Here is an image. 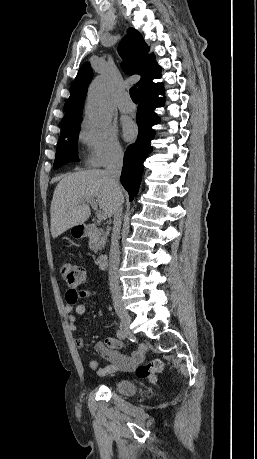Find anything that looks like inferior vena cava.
<instances>
[{"label":"inferior vena cava","mask_w":257,"mask_h":459,"mask_svg":"<svg viewBox=\"0 0 257 459\" xmlns=\"http://www.w3.org/2000/svg\"><path fill=\"white\" fill-rule=\"evenodd\" d=\"M123 166V151L121 148L114 149L106 164V174L114 195L113 230L109 253V284L114 307L122 305L121 288L119 285L118 267L120 260L119 233L121 228V213L123 197L120 186V174Z\"/></svg>","instance_id":"1"}]
</instances>
